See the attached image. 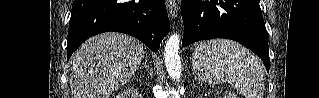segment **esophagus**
Instances as JSON below:
<instances>
[{
    "instance_id": "34e87169",
    "label": "esophagus",
    "mask_w": 319,
    "mask_h": 98,
    "mask_svg": "<svg viewBox=\"0 0 319 98\" xmlns=\"http://www.w3.org/2000/svg\"><path fill=\"white\" fill-rule=\"evenodd\" d=\"M166 7L169 16L174 19L178 15V4L175 0H166Z\"/></svg>"
}]
</instances>
